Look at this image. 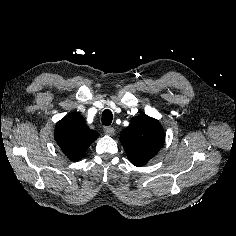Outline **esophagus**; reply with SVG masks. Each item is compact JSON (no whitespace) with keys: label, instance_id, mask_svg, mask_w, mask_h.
<instances>
[{"label":"esophagus","instance_id":"esophagus-1","mask_svg":"<svg viewBox=\"0 0 236 236\" xmlns=\"http://www.w3.org/2000/svg\"><path fill=\"white\" fill-rule=\"evenodd\" d=\"M104 133L106 135L112 136L115 133V129L113 127H110V126L104 127Z\"/></svg>","mask_w":236,"mask_h":236}]
</instances>
